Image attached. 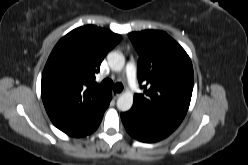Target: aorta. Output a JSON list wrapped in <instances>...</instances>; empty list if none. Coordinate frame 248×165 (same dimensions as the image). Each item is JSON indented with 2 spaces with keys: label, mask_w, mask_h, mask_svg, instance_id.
I'll return each instance as SVG.
<instances>
[{
  "label": "aorta",
  "mask_w": 248,
  "mask_h": 165,
  "mask_svg": "<svg viewBox=\"0 0 248 165\" xmlns=\"http://www.w3.org/2000/svg\"><path fill=\"white\" fill-rule=\"evenodd\" d=\"M108 64L111 70L119 72L125 65V58L120 52H110L107 55ZM133 105V93L128 91L123 93L117 100V108L120 111H128Z\"/></svg>",
  "instance_id": "obj_1"
}]
</instances>
